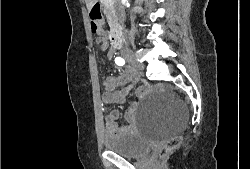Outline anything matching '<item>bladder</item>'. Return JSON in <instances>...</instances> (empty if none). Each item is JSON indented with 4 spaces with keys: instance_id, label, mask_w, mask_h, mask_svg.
Wrapping results in <instances>:
<instances>
[{
    "instance_id": "obj_1",
    "label": "bladder",
    "mask_w": 250,
    "mask_h": 169,
    "mask_svg": "<svg viewBox=\"0 0 250 169\" xmlns=\"http://www.w3.org/2000/svg\"><path fill=\"white\" fill-rule=\"evenodd\" d=\"M149 139H144L142 133H109L102 136L103 146L106 151H114L123 157H136L139 153L147 151L153 147L148 145Z\"/></svg>"
}]
</instances>
